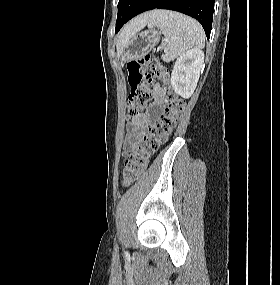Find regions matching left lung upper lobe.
I'll use <instances>...</instances> for the list:
<instances>
[{"instance_id":"1","label":"left lung upper lobe","mask_w":280,"mask_h":285,"mask_svg":"<svg viewBox=\"0 0 280 285\" xmlns=\"http://www.w3.org/2000/svg\"><path fill=\"white\" fill-rule=\"evenodd\" d=\"M137 1L138 0H119L116 28L125 23Z\"/></svg>"}]
</instances>
